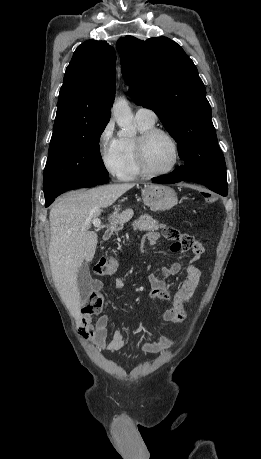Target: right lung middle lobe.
Returning <instances> with one entry per match:
<instances>
[{
    "instance_id": "1",
    "label": "right lung middle lobe",
    "mask_w": 261,
    "mask_h": 459,
    "mask_svg": "<svg viewBox=\"0 0 261 459\" xmlns=\"http://www.w3.org/2000/svg\"><path fill=\"white\" fill-rule=\"evenodd\" d=\"M107 123L51 138L44 170L45 198L77 183L108 178L98 149Z\"/></svg>"
}]
</instances>
